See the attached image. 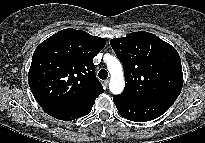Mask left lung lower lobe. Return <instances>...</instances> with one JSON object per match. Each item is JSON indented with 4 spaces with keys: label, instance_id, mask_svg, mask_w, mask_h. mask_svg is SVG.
Masks as SVG:
<instances>
[{
    "label": "left lung lower lobe",
    "instance_id": "obj_1",
    "mask_svg": "<svg viewBox=\"0 0 205 143\" xmlns=\"http://www.w3.org/2000/svg\"><path fill=\"white\" fill-rule=\"evenodd\" d=\"M175 98H161L145 102H133L114 96L113 101L118 112L134 122L151 121L166 112L175 102Z\"/></svg>",
    "mask_w": 205,
    "mask_h": 143
}]
</instances>
